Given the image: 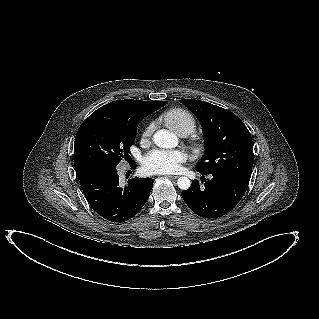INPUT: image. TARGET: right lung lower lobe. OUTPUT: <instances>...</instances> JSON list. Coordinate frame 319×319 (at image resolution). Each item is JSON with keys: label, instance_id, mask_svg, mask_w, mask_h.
<instances>
[{"label": "right lung lower lobe", "instance_id": "1", "mask_svg": "<svg viewBox=\"0 0 319 319\" xmlns=\"http://www.w3.org/2000/svg\"><path fill=\"white\" fill-rule=\"evenodd\" d=\"M79 180L94 211L113 223L133 218L148 200L154 182L151 178L136 177L123 189L119 186L116 167L92 170Z\"/></svg>", "mask_w": 319, "mask_h": 319}]
</instances>
